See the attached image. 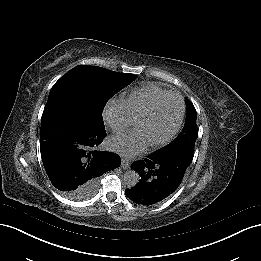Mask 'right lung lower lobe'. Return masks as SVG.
Listing matches in <instances>:
<instances>
[{
  "label": "right lung lower lobe",
  "instance_id": "obj_1",
  "mask_svg": "<svg viewBox=\"0 0 261 261\" xmlns=\"http://www.w3.org/2000/svg\"><path fill=\"white\" fill-rule=\"evenodd\" d=\"M105 136L102 121L63 104L46 105L41 119L40 150L53 186L65 194L74 193L119 167V156L96 150Z\"/></svg>",
  "mask_w": 261,
  "mask_h": 261
}]
</instances>
